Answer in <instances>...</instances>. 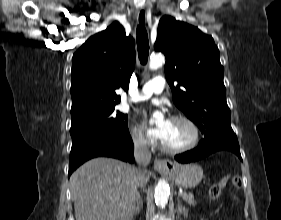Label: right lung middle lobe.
<instances>
[{
	"mask_svg": "<svg viewBox=\"0 0 281 220\" xmlns=\"http://www.w3.org/2000/svg\"><path fill=\"white\" fill-rule=\"evenodd\" d=\"M72 142L88 137L107 138L128 136V115L114 109L86 114L71 120Z\"/></svg>",
	"mask_w": 281,
	"mask_h": 220,
	"instance_id": "1",
	"label": "right lung middle lobe"
}]
</instances>
